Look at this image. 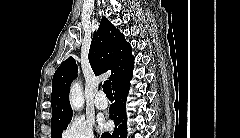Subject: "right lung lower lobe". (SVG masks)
Instances as JSON below:
<instances>
[{"label": "right lung lower lobe", "instance_id": "obj_1", "mask_svg": "<svg viewBox=\"0 0 240 138\" xmlns=\"http://www.w3.org/2000/svg\"><path fill=\"white\" fill-rule=\"evenodd\" d=\"M128 80L113 87L115 103L110 107V118L114 120L116 127L112 134L103 133L101 138H125L127 134L126 128V97L129 89Z\"/></svg>", "mask_w": 240, "mask_h": 138}]
</instances>
